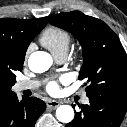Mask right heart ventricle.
<instances>
[{"instance_id":"right-heart-ventricle-1","label":"right heart ventricle","mask_w":127,"mask_h":127,"mask_svg":"<svg viewBox=\"0 0 127 127\" xmlns=\"http://www.w3.org/2000/svg\"><path fill=\"white\" fill-rule=\"evenodd\" d=\"M39 40L55 57H58L67 54L71 36L65 29L49 26L41 33Z\"/></svg>"}]
</instances>
